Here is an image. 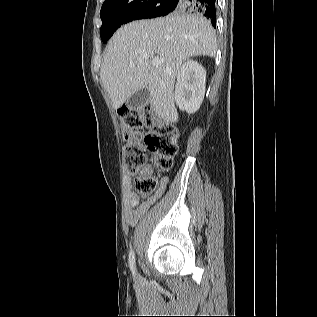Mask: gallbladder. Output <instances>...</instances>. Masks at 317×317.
<instances>
[{
	"instance_id": "obj_1",
	"label": "gallbladder",
	"mask_w": 317,
	"mask_h": 317,
	"mask_svg": "<svg viewBox=\"0 0 317 317\" xmlns=\"http://www.w3.org/2000/svg\"><path fill=\"white\" fill-rule=\"evenodd\" d=\"M150 101V92L147 87L135 92L126 104L130 109H139L146 106Z\"/></svg>"
}]
</instances>
